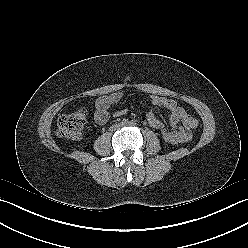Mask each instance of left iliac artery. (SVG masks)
I'll use <instances>...</instances> for the list:
<instances>
[{
    "label": "left iliac artery",
    "mask_w": 248,
    "mask_h": 248,
    "mask_svg": "<svg viewBox=\"0 0 248 248\" xmlns=\"http://www.w3.org/2000/svg\"><path fill=\"white\" fill-rule=\"evenodd\" d=\"M130 124H131V125H135L136 123H135L134 121H131Z\"/></svg>",
    "instance_id": "44dca946"
}]
</instances>
